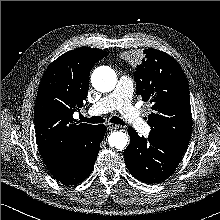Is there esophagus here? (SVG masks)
I'll list each match as a JSON object with an SVG mask.
<instances>
[{
  "instance_id": "34e87169",
  "label": "esophagus",
  "mask_w": 220,
  "mask_h": 220,
  "mask_svg": "<svg viewBox=\"0 0 220 220\" xmlns=\"http://www.w3.org/2000/svg\"><path fill=\"white\" fill-rule=\"evenodd\" d=\"M118 128H119L118 125H114V124H111V123L107 124V129L108 130H114V129H118Z\"/></svg>"
}]
</instances>
